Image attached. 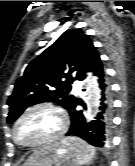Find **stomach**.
Returning <instances> with one entry per match:
<instances>
[{
	"instance_id": "stomach-1",
	"label": "stomach",
	"mask_w": 135,
	"mask_h": 166,
	"mask_svg": "<svg viewBox=\"0 0 135 166\" xmlns=\"http://www.w3.org/2000/svg\"><path fill=\"white\" fill-rule=\"evenodd\" d=\"M23 166H76L74 151L56 142L34 152Z\"/></svg>"
}]
</instances>
